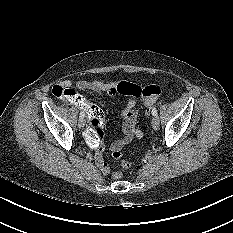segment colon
Segmentation results:
<instances>
[{
  "label": "colon",
  "mask_w": 233,
  "mask_h": 233,
  "mask_svg": "<svg viewBox=\"0 0 233 233\" xmlns=\"http://www.w3.org/2000/svg\"><path fill=\"white\" fill-rule=\"evenodd\" d=\"M160 88L157 86H149L144 89V93L147 96H157L160 94ZM53 93L55 96L60 98L68 99L69 102L79 110L85 109L89 118H90V126H87L83 129L82 135L86 143L93 147L98 148V146L102 143L103 138V129L105 125V118L102 110H100L98 107L91 105L87 102V100L80 96L78 93H76L75 90L72 88H63L58 85L54 86ZM155 104V103H154ZM150 106L147 108V113L150 110ZM113 157L115 159H121L122 153L121 151H116L112 153ZM122 166L125 168H129L131 164L128 161L122 160L121 162ZM114 178L118 179L121 178L120 173H114Z\"/></svg>",
  "instance_id": "5ec220e1"
}]
</instances>
